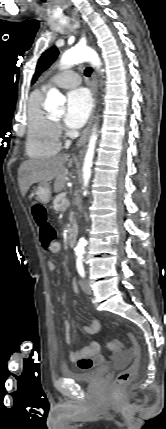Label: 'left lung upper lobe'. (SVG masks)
<instances>
[{
    "label": "left lung upper lobe",
    "mask_w": 166,
    "mask_h": 429,
    "mask_svg": "<svg viewBox=\"0 0 166 429\" xmlns=\"http://www.w3.org/2000/svg\"><path fill=\"white\" fill-rule=\"evenodd\" d=\"M58 54L59 52L55 46L49 48L42 54V56L38 60L32 83L37 80V78L41 75L42 72H44L50 67V65L56 60Z\"/></svg>",
    "instance_id": "obj_1"
}]
</instances>
